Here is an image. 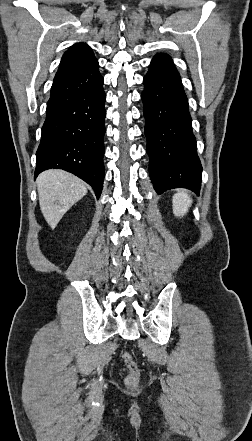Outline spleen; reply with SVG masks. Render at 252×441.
<instances>
[{"instance_id":"obj_1","label":"spleen","mask_w":252,"mask_h":441,"mask_svg":"<svg viewBox=\"0 0 252 441\" xmlns=\"http://www.w3.org/2000/svg\"><path fill=\"white\" fill-rule=\"evenodd\" d=\"M192 200L186 191H180L173 196V213L176 217H183L191 206Z\"/></svg>"}]
</instances>
